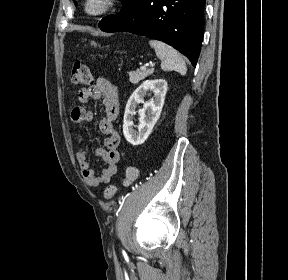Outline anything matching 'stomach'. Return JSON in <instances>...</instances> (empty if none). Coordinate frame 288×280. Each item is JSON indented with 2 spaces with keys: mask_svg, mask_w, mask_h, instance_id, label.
Here are the masks:
<instances>
[{
  "mask_svg": "<svg viewBox=\"0 0 288 280\" xmlns=\"http://www.w3.org/2000/svg\"><path fill=\"white\" fill-rule=\"evenodd\" d=\"M92 46H97V44L95 42H91Z\"/></svg>",
  "mask_w": 288,
  "mask_h": 280,
  "instance_id": "0dacf381",
  "label": "stomach"
}]
</instances>
